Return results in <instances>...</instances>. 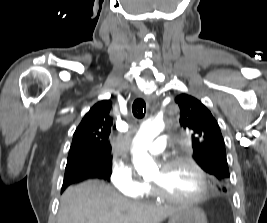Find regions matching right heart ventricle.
Segmentation results:
<instances>
[{"label":"right heart ventricle","instance_id":"1","mask_svg":"<svg viewBox=\"0 0 267 223\" xmlns=\"http://www.w3.org/2000/svg\"><path fill=\"white\" fill-rule=\"evenodd\" d=\"M149 193H150L149 187L146 185L143 194H147V195H149Z\"/></svg>","mask_w":267,"mask_h":223}]
</instances>
